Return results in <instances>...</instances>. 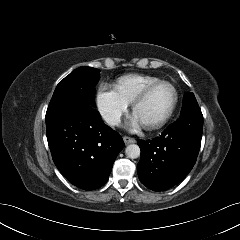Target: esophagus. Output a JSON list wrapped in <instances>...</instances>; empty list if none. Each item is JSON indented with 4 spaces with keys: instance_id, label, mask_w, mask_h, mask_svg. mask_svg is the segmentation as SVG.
Returning <instances> with one entry per match:
<instances>
[{
    "instance_id": "esophagus-1",
    "label": "esophagus",
    "mask_w": 240,
    "mask_h": 240,
    "mask_svg": "<svg viewBox=\"0 0 240 240\" xmlns=\"http://www.w3.org/2000/svg\"><path fill=\"white\" fill-rule=\"evenodd\" d=\"M123 139H124V142H125L126 145L131 144V143H135V139L131 138L129 136H124Z\"/></svg>"
}]
</instances>
